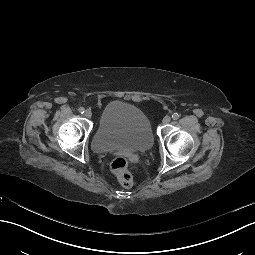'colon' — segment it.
Listing matches in <instances>:
<instances>
[{"label":"colon","instance_id":"5ec220e1","mask_svg":"<svg viewBox=\"0 0 255 255\" xmlns=\"http://www.w3.org/2000/svg\"><path fill=\"white\" fill-rule=\"evenodd\" d=\"M111 170L116 175L119 183L125 187L130 188L133 185V177L128 170V160L124 156H118L111 162Z\"/></svg>","mask_w":255,"mask_h":255}]
</instances>
